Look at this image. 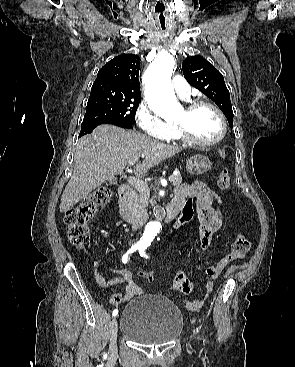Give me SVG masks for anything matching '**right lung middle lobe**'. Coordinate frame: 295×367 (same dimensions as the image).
Returning a JSON list of instances; mask_svg holds the SVG:
<instances>
[{
    "label": "right lung middle lobe",
    "mask_w": 295,
    "mask_h": 367,
    "mask_svg": "<svg viewBox=\"0 0 295 367\" xmlns=\"http://www.w3.org/2000/svg\"><path fill=\"white\" fill-rule=\"evenodd\" d=\"M139 103L140 98L116 96L107 93H91L81 131L100 124L116 122L135 124V113Z\"/></svg>",
    "instance_id": "1"
}]
</instances>
